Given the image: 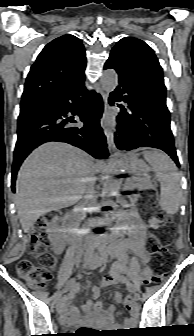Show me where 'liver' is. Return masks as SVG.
<instances>
[{
	"label": "liver",
	"instance_id": "1",
	"mask_svg": "<svg viewBox=\"0 0 194 336\" xmlns=\"http://www.w3.org/2000/svg\"><path fill=\"white\" fill-rule=\"evenodd\" d=\"M102 167L70 144L49 142L35 149L22 164L16 183L15 204L23 231L29 232L40 216L78 202L94 170Z\"/></svg>",
	"mask_w": 194,
	"mask_h": 336
}]
</instances>
